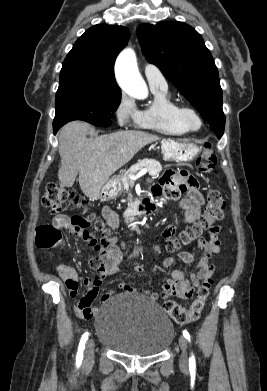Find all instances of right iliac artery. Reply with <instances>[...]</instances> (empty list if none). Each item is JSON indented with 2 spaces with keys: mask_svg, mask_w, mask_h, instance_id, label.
I'll return each mask as SVG.
<instances>
[{
  "mask_svg": "<svg viewBox=\"0 0 267 391\" xmlns=\"http://www.w3.org/2000/svg\"><path fill=\"white\" fill-rule=\"evenodd\" d=\"M87 339H88V332L84 333V335L81 338L79 347H78V353H77V357H76L77 366H80L81 362L83 360V350L85 348V343H86Z\"/></svg>",
  "mask_w": 267,
  "mask_h": 391,
  "instance_id": "right-iliac-artery-1",
  "label": "right iliac artery"
}]
</instances>
